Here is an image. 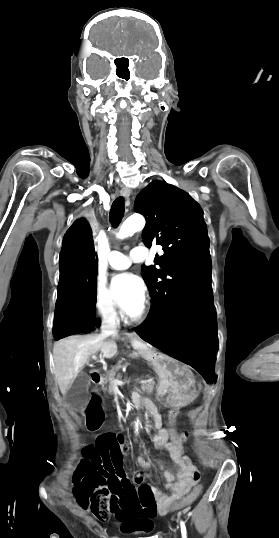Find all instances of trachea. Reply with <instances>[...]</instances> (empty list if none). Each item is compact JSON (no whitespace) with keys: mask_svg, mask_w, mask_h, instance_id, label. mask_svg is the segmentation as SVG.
Listing matches in <instances>:
<instances>
[{"mask_svg":"<svg viewBox=\"0 0 279 538\" xmlns=\"http://www.w3.org/2000/svg\"><path fill=\"white\" fill-rule=\"evenodd\" d=\"M124 211V199L123 197H118L113 202L109 213V221L113 228H117L120 225L122 218L124 217Z\"/></svg>","mask_w":279,"mask_h":538,"instance_id":"trachea-1","label":"trachea"}]
</instances>
